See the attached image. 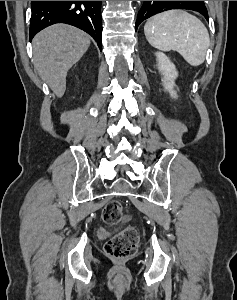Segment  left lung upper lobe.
Instances as JSON below:
<instances>
[{
	"label": "left lung upper lobe",
	"mask_w": 237,
	"mask_h": 300,
	"mask_svg": "<svg viewBox=\"0 0 237 300\" xmlns=\"http://www.w3.org/2000/svg\"><path fill=\"white\" fill-rule=\"evenodd\" d=\"M171 9L193 10L208 20V12L204 1H144L136 20V29L145 19Z\"/></svg>",
	"instance_id": "5c2ea615"
}]
</instances>
